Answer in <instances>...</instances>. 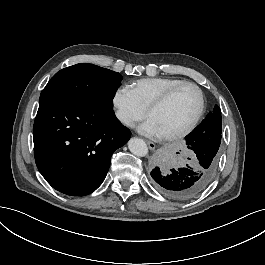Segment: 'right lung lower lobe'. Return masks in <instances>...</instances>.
Here are the masks:
<instances>
[{"mask_svg": "<svg viewBox=\"0 0 265 265\" xmlns=\"http://www.w3.org/2000/svg\"><path fill=\"white\" fill-rule=\"evenodd\" d=\"M130 136L110 108L45 97L33 126L36 165L56 190L88 195L102 184L113 152Z\"/></svg>", "mask_w": 265, "mask_h": 265, "instance_id": "1", "label": "right lung lower lobe"}]
</instances>
